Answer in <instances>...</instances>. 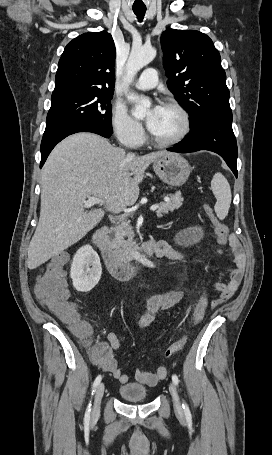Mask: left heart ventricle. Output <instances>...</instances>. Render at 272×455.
<instances>
[{"mask_svg":"<svg viewBox=\"0 0 272 455\" xmlns=\"http://www.w3.org/2000/svg\"><path fill=\"white\" fill-rule=\"evenodd\" d=\"M182 127L179 113L166 106H162L155 128L152 134L162 140L171 139L176 136Z\"/></svg>","mask_w":272,"mask_h":455,"instance_id":"b2bd125f","label":"left heart ventricle"}]
</instances>
